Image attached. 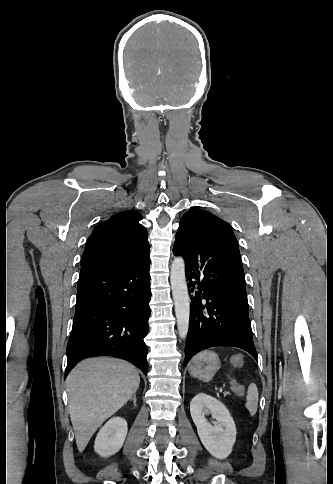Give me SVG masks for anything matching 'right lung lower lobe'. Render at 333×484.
I'll return each mask as SVG.
<instances>
[{
  "mask_svg": "<svg viewBox=\"0 0 333 484\" xmlns=\"http://www.w3.org/2000/svg\"><path fill=\"white\" fill-rule=\"evenodd\" d=\"M150 258L81 270L65 377L88 357L117 356L147 374Z\"/></svg>",
  "mask_w": 333,
  "mask_h": 484,
  "instance_id": "obj_1",
  "label": "right lung lower lobe"
}]
</instances>
